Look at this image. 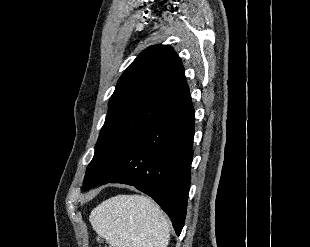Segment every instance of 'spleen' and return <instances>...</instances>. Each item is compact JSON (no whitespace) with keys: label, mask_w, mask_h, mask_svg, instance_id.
I'll return each mask as SVG.
<instances>
[{"label":"spleen","mask_w":310,"mask_h":247,"mask_svg":"<svg viewBox=\"0 0 310 247\" xmlns=\"http://www.w3.org/2000/svg\"><path fill=\"white\" fill-rule=\"evenodd\" d=\"M89 221L111 247H167L170 225L159 206L143 195H117L99 204Z\"/></svg>","instance_id":"spleen-1"}]
</instances>
